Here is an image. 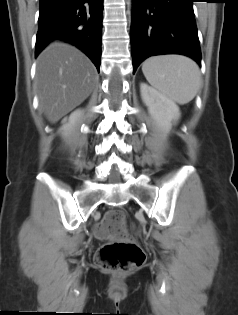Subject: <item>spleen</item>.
Wrapping results in <instances>:
<instances>
[{
    "instance_id": "spleen-1",
    "label": "spleen",
    "mask_w": 238,
    "mask_h": 315,
    "mask_svg": "<svg viewBox=\"0 0 238 315\" xmlns=\"http://www.w3.org/2000/svg\"><path fill=\"white\" fill-rule=\"evenodd\" d=\"M142 71L155 89L181 105L189 103L201 85L198 65L182 55L150 57L143 62Z\"/></svg>"
}]
</instances>
